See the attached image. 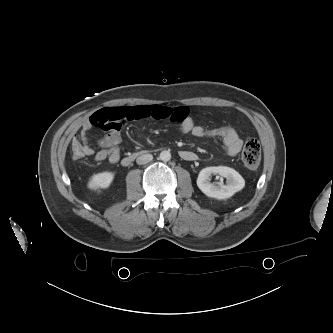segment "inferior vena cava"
Wrapping results in <instances>:
<instances>
[{"mask_svg":"<svg viewBox=\"0 0 333 333\" xmlns=\"http://www.w3.org/2000/svg\"><path fill=\"white\" fill-rule=\"evenodd\" d=\"M152 159H153V156L151 154H143L137 158L136 162L139 165H143V164L150 162Z\"/></svg>","mask_w":333,"mask_h":333,"instance_id":"obj_1","label":"inferior vena cava"}]
</instances>
